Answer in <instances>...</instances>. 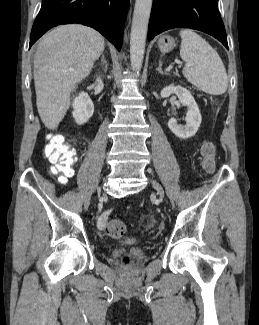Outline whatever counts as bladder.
I'll use <instances>...</instances> for the list:
<instances>
[{
  "label": "bladder",
  "instance_id": "31cf9c89",
  "mask_svg": "<svg viewBox=\"0 0 259 325\" xmlns=\"http://www.w3.org/2000/svg\"><path fill=\"white\" fill-rule=\"evenodd\" d=\"M122 244L128 245V246H133L139 244V240L136 238H127L122 241Z\"/></svg>",
  "mask_w": 259,
  "mask_h": 325
}]
</instances>
